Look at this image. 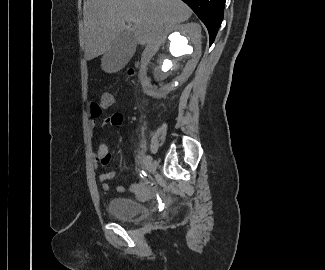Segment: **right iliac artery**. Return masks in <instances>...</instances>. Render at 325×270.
Masks as SVG:
<instances>
[{
  "mask_svg": "<svg viewBox=\"0 0 325 270\" xmlns=\"http://www.w3.org/2000/svg\"><path fill=\"white\" fill-rule=\"evenodd\" d=\"M150 160H151V156L147 155V156H145V157L143 158L142 162H143L144 164H147Z\"/></svg>",
  "mask_w": 325,
  "mask_h": 270,
  "instance_id": "82829eb1",
  "label": "right iliac artery"
}]
</instances>
